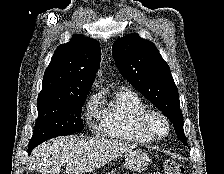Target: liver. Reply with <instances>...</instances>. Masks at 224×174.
<instances>
[{
	"instance_id": "liver-1",
	"label": "liver",
	"mask_w": 224,
	"mask_h": 174,
	"mask_svg": "<svg viewBox=\"0 0 224 174\" xmlns=\"http://www.w3.org/2000/svg\"><path fill=\"white\" fill-rule=\"evenodd\" d=\"M135 148L136 145L116 140L59 137L42 143L32 151L29 170L59 174L66 164L67 174H85Z\"/></svg>"
}]
</instances>
